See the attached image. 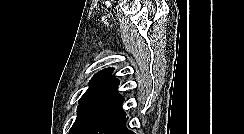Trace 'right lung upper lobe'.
<instances>
[{
  "label": "right lung upper lobe",
  "mask_w": 244,
  "mask_h": 134,
  "mask_svg": "<svg viewBox=\"0 0 244 134\" xmlns=\"http://www.w3.org/2000/svg\"><path fill=\"white\" fill-rule=\"evenodd\" d=\"M113 68L104 69L96 73L89 82V89L79 100V106L98 101L121 100L123 97L118 93L120 81L112 76Z\"/></svg>",
  "instance_id": "right-lung-upper-lobe-1"
}]
</instances>
